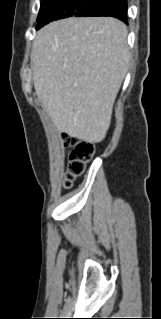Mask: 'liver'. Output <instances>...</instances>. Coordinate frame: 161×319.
I'll return each mask as SVG.
<instances>
[{"label": "liver", "mask_w": 161, "mask_h": 319, "mask_svg": "<svg viewBox=\"0 0 161 319\" xmlns=\"http://www.w3.org/2000/svg\"><path fill=\"white\" fill-rule=\"evenodd\" d=\"M127 27L111 17L68 18L33 42L34 88L60 132L101 142L129 68Z\"/></svg>", "instance_id": "obj_1"}]
</instances>
